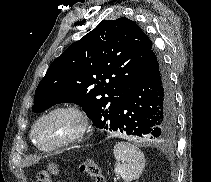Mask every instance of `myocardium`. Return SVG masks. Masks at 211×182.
<instances>
[{"label":"myocardium","instance_id":"obj_1","mask_svg":"<svg viewBox=\"0 0 211 182\" xmlns=\"http://www.w3.org/2000/svg\"><path fill=\"white\" fill-rule=\"evenodd\" d=\"M56 113L72 114L78 120V127L72 134H70L68 137H66L65 139H63L57 143H54L51 145H41L40 143H38V141L35 138V131H36L37 127L39 126V124L43 120H45L49 116L56 114ZM89 128H90V118H89L88 114L82 108L75 106V105H60V106L50 109L49 111H47L46 113L41 115L35 121V123L32 126L31 132H30V138H31L32 142L34 143V145L37 148H39L40 150L50 151V150L58 149V148H61L63 146H66V145H69V144H72V143L78 141L87 133Z\"/></svg>","mask_w":211,"mask_h":182}]
</instances>
